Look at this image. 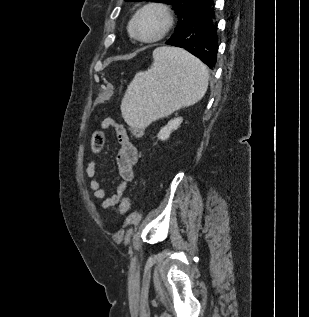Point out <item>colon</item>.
Instances as JSON below:
<instances>
[{
  "label": "colon",
  "mask_w": 309,
  "mask_h": 317,
  "mask_svg": "<svg viewBox=\"0 0 309 317\" xmlns=\"http://www.w3.org/2000/svg\"><path fill=\"white\" fill-rule=\"evenodd\" d=\"M134 134L136 136H140L142 134V130L141 129H135L134 130ZM103 143H104L103 134L100 131L95 132L93 134V137H92L93 148L98 151V150H100L102 148ZM120 208H121L123 213H127L129 211V209H130V199H129V197H127V196L123 197V199L121 200V203H120Z\"/></svg>",
  "instance_id": "1"
}]
</instances>
